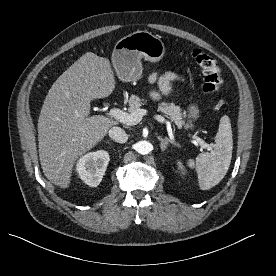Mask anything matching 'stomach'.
<instances>
[{
    "label": "stomach",
    "instance_id": "stomach-1",
    "mask_svg": "<svg viewBox=\"0 0 276 276\" xmlns=\"http://www.w3.org/2000/svg\"><path fill=\"white\" fill-rule=\"evenodd\" d=\"M165 53V45L159 37L148 31H136L115 44L111 60L118 78L123 82H133L142 74V58L155 63L160 61ZM189 114L193 120H197L200 115L198 106L190 105Z\"/></svg>",
    "mask_w": 276,
    "mask_h": 276
}]
</instances>
